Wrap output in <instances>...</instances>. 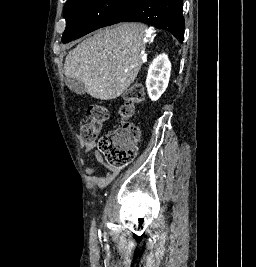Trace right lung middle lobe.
Wrapping results in <instances>:
<instances>
[{
  "label": "right lung middle lobe",
  "mask_w": 256,
  "mask_h": 267,
  "mask_svg": "<svg viewBox=\"0 0 256 267\" xmlns=\"http://www.w3.org/2000/svg\"><path fill=\"white\" fill-rule=\"evenodd\" d=\"M138 0H68L64 6L66 29L62 42L68 43L125 15Z\"/></svg>",
  "instance_id": "1"
}]
</instances>
